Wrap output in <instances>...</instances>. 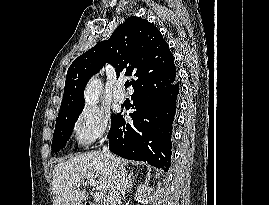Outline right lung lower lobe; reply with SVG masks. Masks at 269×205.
I'll return each mask as SVG.
<instances>
[{
    "mask_svg": "<svg viewBox=\"0 0 269 205\" xmlns=\"http://www.w3.org/2000/svg\"><path fill=\"white\" fill-rule=\"evenodd\" d=\"M178 94L176 81L134 93L131 98L135 111L130 114L133 122L125 123L121 114L111 122L110 151L168 171Z\"/></svg>",
    "mask_w": 269,
    "mask_h": 205,
    "instance_id": "right-lung-lower-lobe-1",
    "label": "right lung lower lobe"
}]
</instances>
